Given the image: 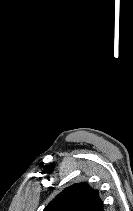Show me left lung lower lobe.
<instances>
[{
    "instance_id": "obj_1",
    "label": "left lung lower lobe",
    "mask_w": 133,
    "mask_h": 211,
    "mask_svg": "<svg viewBox=\"0 0 133 211\" xmlns=\"http://www.w3.org/2000/svg\"><path fill=\"white\" fill-rule=\"evenodd\" d=\"M98 211H104V210H103V208L101 207V208L98 209Z\"/></svg>"
}]
</instances>
